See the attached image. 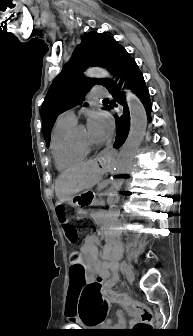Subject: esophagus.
I'll list each match as a JSON object with an SVG mask.
<instances>
[{"mask_svg":"<svg viewBox=\"0 0 193 336\" xmlns=\"http://www.w3.org/2000/svg\"><path fill=\"white\" fill-rule=\"evenodd\" d=\"M116 149L113 147V145H108L106 148H104L101 152H100V154H99V156H98V158L99 159H103V158H105L106 156H108V155H114V154H116Z\"/></svg>","mask_w":193,"mask_h":336,"instance_id":"obj_1","label":"esophagus"}]
</instances>
